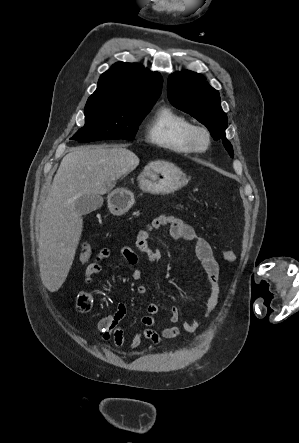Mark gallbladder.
I'll use <instances>...</instances> for the list:
<instances>
[{
    "mask_svg": "<svg viewBox=\"0 0 299 443\" xmlns=\"http://www.w3.org/2000/svg\"><path fill=\"white\" fill-rule=\"evenodd\" d=\"M75 210L80 215H87L103 205V198L97 194H84L75 201Z\"/></svg>",
    "mask_w": 299,
    "mask_h": 443,
    "instance_id": "gallbladder-1",
    "label": "gallbladder"
}]
</instances>
